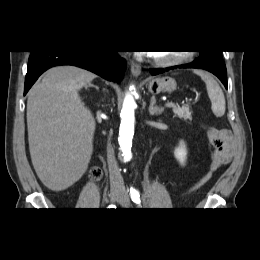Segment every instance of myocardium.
Returning a JSON list of instances; mask_svg holds the SVG:
<instances>
[{
  "label": "myocardium",
  "mask_w": 260,
  "mask_h": 260,
  "mask_svg": "<svg viewBox=\"0 0 260 260\" xmlns=\"http://www.w3.org/2000/svg\"><path fill=\"white\" fill-rule=\"evenodd\" d=\"M190 58V53H182L174 57H170L167 59H162L159 57H156L155 55L152 56V62L160 67H171L175 65H179L185 61H187Z\"/></svg>",
  "instance_id": "myocardium-1"
}]
</instances>
